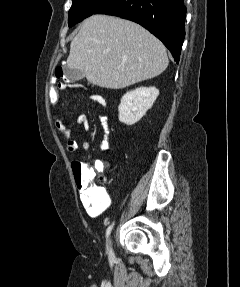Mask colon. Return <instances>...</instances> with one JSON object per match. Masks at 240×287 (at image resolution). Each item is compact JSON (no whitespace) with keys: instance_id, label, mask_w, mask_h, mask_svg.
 I'll return each mask as SVG.
<instances>
[{"instance_id":"colon-1","label":"colon","mask_w":240,"mask_h":287,"mask_svg":"<svg viewBox=\"0 0 240 287\" xmlns=\"http://www.w3.org/2000/svg\"><path fill=\"white\" fill-rule=\"evenodd\" d=\"M63 71L61 67H58L52 77V84L48 91V105L53 117L54 122H58L60 119L64 118L63 107L64 102L61 97V92L68 87L79 88L77 84H70L62 80ZM104 166L99 165V168L102 169ZM73 172L77 180V185L80 191L83 193H90V190L93 188L89 185L91 170L80 162L73 163Z\"/></svg>"}]
</instances>
